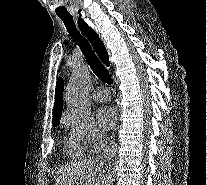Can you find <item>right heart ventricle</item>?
Returning <instances> with one entry per match:
<instances>
[{
  "mask_svg": "<svg viewBox=\"0 0 207 185\" xmlns=\"http://www.w3.org/2000/svg\"><path fill=\"white\" fill-rule=\"evenodd\" d=\"M67 153L76 158H80L85 153V147L74 137L69 138L65 144Z\"/></svg>",
  "mask_w": 207,
  "mask_h": 185,
  "instance_id": "obj_1",
  "label": "right heart ventricle"
}]
</instances>
